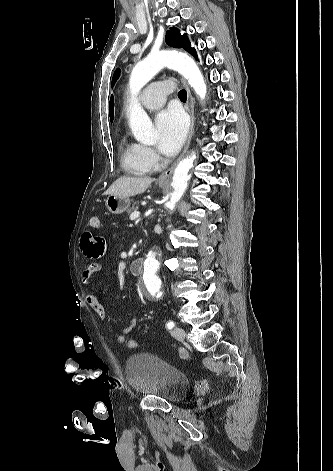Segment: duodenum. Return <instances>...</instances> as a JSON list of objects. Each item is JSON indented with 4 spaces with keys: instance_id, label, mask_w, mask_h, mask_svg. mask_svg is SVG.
Listing matches in <instances>:
<instances>
[{
    "instance_id": "duodenum-1",
    "label": "duodenum",
    "mask_w": 333,
    "mask_h": 471,
    "mask_svg": "<svg viewBox=\"0 0 333 471\" xmlns=\"http://www.w3.org/2000/svg\"><path fill=\"white\" fill-rule=\"evenodd\" d=\"M144 267V260L142 258L135 259L129 265V271L133 275H139Z\"/></svg>"
}]
</instances>
